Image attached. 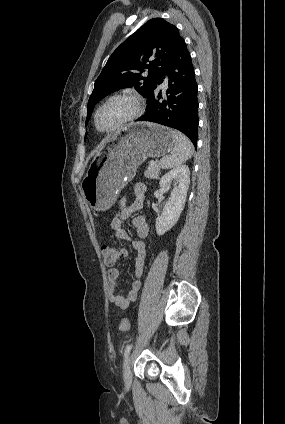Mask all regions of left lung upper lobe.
Returning <instances> with one entry per match:
<instances>
[{
  "instance_id": "5c2ea615",
  "label": "left lung upper lobe",
  "mask_w": 285,
  "mask_h": 424,
  "mask_svg": "<svg viewBox=\"0 0 285 424\" xmlns=\"http://www.w3.org/2000/svg\"><path fill=\"white\" fill-rule=\"evenodd\" d=\"M181 36L162 18L147 21L109 57L88 100L86 124L94 106L108 94L134 86L147 98L162 78ZM147 62H150L147 64ZM148 70V76L142 73Z\"/></svg>"
}]
</instances>
